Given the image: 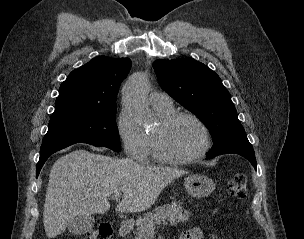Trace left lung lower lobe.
Wrapping results in <instances>:
<instances>
[{
  "label": "left lung lower lobe",
  "instance_id": "1",
  "mask_svg": "<svg viewBox=\"0 0 304 239\" xmlns=\"http://www.w3.org/2000/svg\"><path fill=\"white\" fill-rule=\"evenodd\" d=\"M234 154H238L243 156L244 158H246L247 160H249L251 162V164L254 166V168H257V164H256V159H255V154H247V153H234ZM215 157V155H208L207 158L211 159Z\"/></svg>",
  "mask_w": 304,
  "mask_h": 239
}]
</instances>
